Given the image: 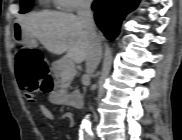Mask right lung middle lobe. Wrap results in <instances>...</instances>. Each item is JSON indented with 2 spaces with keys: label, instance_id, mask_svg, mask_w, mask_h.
I'll list each match as a JSON object with an SVG mask.
<instances>
[{
  "label": "right lung middle lobe",
  "instance_id": "right-lung-middle-lobe-1",
  "mask_svg": "<svg viewBox=\"0 0 182 140\" xmlns=\"http://www.w3.org/2000/svg\"><path fill=\"white\" fill-rule=\"evenodd\" d=\"M20 4H21L20 13H26L32 7V0H22V1H20Z\"/></svg>",
  "mask_w": 182,
  "mask_h": 140
}]
</instances>
